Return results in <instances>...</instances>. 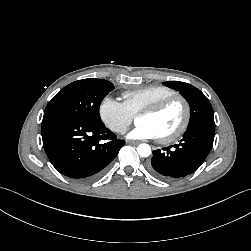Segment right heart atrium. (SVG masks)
Segmentation results:
<instances>
[{
  "mask_svg": "<svg viewBox=\"0 0 251 251\" xmlns=\"http://www.w3.org/2000/svg\"><path fill=\"white\" fill-rule=\"evenodd\" d=\"M98 113L104 125L117 134H123L134 119L125 104L112 97H105L101 101Z\"/></svg>",
  "mask_w": 251,
  "mask_h": 251,
  "instance_id": "1",
  "label": "right heart atrium"
}]
</instances>
